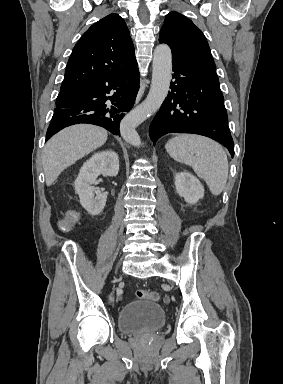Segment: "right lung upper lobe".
<instances>
[{"mask_svg":"<svg viewBox=\"0 0 283 384\" xmlns=\"http://www.w3.org/2000/svg\"><path fill=\"white\" fill-rule=\"evenodd\" d=\"M136 65L123 18L110 14L93 24L73 48L60 91L74 92L88 82L127 72Z\"/></svg>","mask_w":283,"mask_h":384,"instance_id":"right-lung-upper-lobe-1","label":"right lung upper lobe"}]
</instances>
